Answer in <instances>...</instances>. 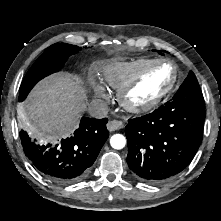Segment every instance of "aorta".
I'll list each match as a JSON object with an SVG mask.
<instances>
[{
    "instance_id": "762f6f07",
    "label": "aorta",
    "mask_w": 221,
    "mask_h": 221,
    "mask_svg": "<svg viewBox=\"0 0 221 221\" xmlns=\"http://www.w3.org/2000/svg\"><path fill=\"white\" fill-rule=\"evenodd\" d=\"M110 145L112 148L120 150L126 145V138L122 134H114L110 138Z\"/></svg>"
}]
</instances>
